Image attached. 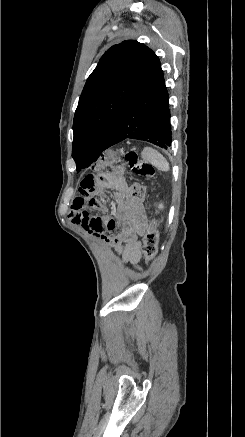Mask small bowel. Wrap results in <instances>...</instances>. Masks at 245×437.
Returning <instances> with one entry per match:
<instances>
[{
  "instance_id": "c3829d8e",
  "label": "small bowel",
  "mask_w": 245,
  "mask_h": 437,
  "mask_svg": "<svg viewBox=\"0 0 245 437\" xmlns=\"http://www.w3.org/2000/svg\"><path fill=\"white\" fill-rule=\"evenodd\" d=\"M115 150H102L100 159L80 183V196L74 198L70 217L73 223L81 226L90 234L100 237L108 245L112 246L122 260L135 266L141 258V243L139 238L144 234L147 221L142 205H131L129 187L122 181L117 180L113 186L118 190L119 196L116 201V219L111 217L91 216L87 211L86 198L89 197V206L98 209L103 205L100 197L92 196L96 191L95 180L105 171H109L111 164L115 161ZM107 184V182H106ZM119 229L110 237L102 235L104 227L108 230Z\"/></svg>"
}]
</instances>
